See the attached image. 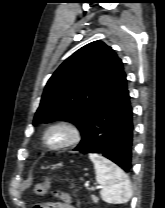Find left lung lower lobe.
I'll return each instance as SVG.
<instances>
[{
	"label": "left lung lower lobe",
	"instance_id": "1",
	"mask_svg": "<svg viewBox=\"0 0 165 208\" xmlns=\"http://www.w3.org/2000/svg\"><path fill=\"white\" fill-rule=\"evenodd\" d=\"M134 125L124 71L94 111L82 140L74 149L82 153H100L125 172L132 169Z\"/></svg>",
	"mask_w": 165,
	"mask_h": 208
}]
</instances>
